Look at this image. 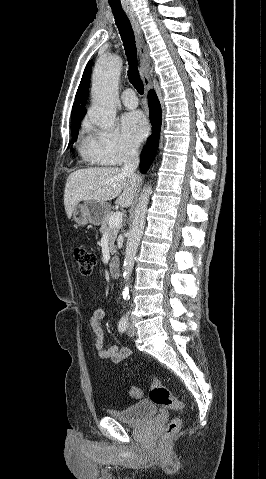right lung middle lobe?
<instances>
[{
	"label": "right lung middle lobe",
	"instance_id": "1",
	"mask_svg": "<svg viewBox=\"0 0 266 479\" xmlns=\"http://www.w3.org/2000/svg\"><path fill=\"white\" fill-rule=\"evenodd\" d=\"M80 121H75V122H72V139H73V142L77 139V136H78V132H79V128H80Z\"/></svg>",
	"mask_w": 266,
	"mask_h": 479
}]
</instances>
